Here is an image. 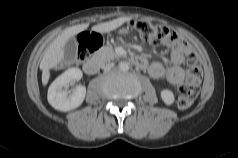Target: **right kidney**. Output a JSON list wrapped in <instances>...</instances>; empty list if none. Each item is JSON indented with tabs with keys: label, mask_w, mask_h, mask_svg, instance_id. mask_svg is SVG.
Masks as SVG:
<instances>
[{
	"label": "right kidney",
	"mask_w": 238,
	"mask_h": 158,
	"mask_svg": "<svg viewBox=\"0 0 238 158\" xmlns=\"http://www.w3.org/2000/svg\"><path fill=\"white\" fill-rule=\"evenodd\" d=\"M82 71L79 68H70L57 77L48 89V102L56 110L68 112L79 107L86 96V87L77 86L72 93L62 90L71 81L80 80Z\"/></svg>",
	"instance_id": "obj_1"
}]
</instances>
